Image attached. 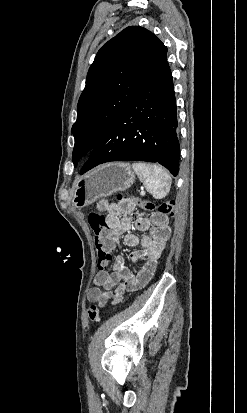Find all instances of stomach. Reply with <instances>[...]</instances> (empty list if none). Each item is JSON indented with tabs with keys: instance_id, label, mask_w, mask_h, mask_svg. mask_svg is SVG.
Returning <instances> with one entry per match:
<instances>
[{
	"instance_id": "stomach-1",
	"label": "stomach",
	"mask_w": 247,
	"mask_h": 413,
	"mask_svg": "<svg viewBox=\"0 0 247 413\" xmlns=\"http://www.w3.org/2000/svg\"><path fill=\"white\" fill-rule=\"evenodd\" d=\"M135 180V172L129 162H106L90 172L77 176L72 186V204L76 209L88 207L102 196H110L117 190H126Z\"/></svg>"
}]
</instances>
